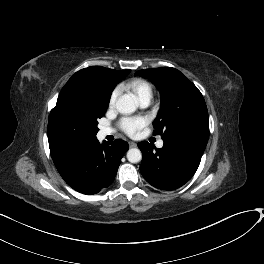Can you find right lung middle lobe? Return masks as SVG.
<instances>
[{
    "label": "right lung middle lobe",
    "mask_w": 264,
    "mask_h": 264,
    "mask_svg": "<svg viewBox=\"0 0 264 264\" xmlns=\"http://www.w3.org/2000/svg\"><path fill=\"white\" fill-rule=\"evenodd\" d=\"M112 90L113 87L103 84L65 96L56 110L61 129L69 136H95L99 131L97 120L104 116Z\"/></svg>",
    "instance_id": "dd1d6c3e"
}]
</instances>
